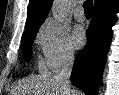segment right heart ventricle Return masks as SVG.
<instances>
[{
  "label": "right heart ventricle",
  "mask_w": 119,
  "mask_h": 95,
  "mask_svg": "<svg viewBox=\"0 0 119 95\" xmlns=\"http://www.w3.org/2000/svg\"><path fill=\"white\" fill-rule=\"evenodd\" d=\"M38 68L41 72H46L47 71V67H46L45 63L41 60L38 63Z\"/></svg>",
  "instance_id": "1"
}]
</instances>
